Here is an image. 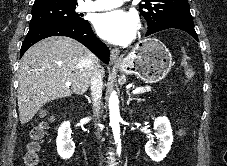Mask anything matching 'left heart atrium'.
I'll return each mask as SVG.
<instances>
[{
    "label": "left heart atrium",
    "mask_w": 227,
    "mask_h": 166,
    "mask_svg": "<svg viewBox=\"0 0 227 166\" xmlns=\"http://www.w3.org/2000/svg\"><path fill=\"white\" fill-rule=\"evenodd\" d=\"M133 13L115 10L99 14L94 22L97 34L104 40L124 44L133 39L137 28Z\"/></svg>",
    "instance_id": "obj_1"
}]
</instances>
